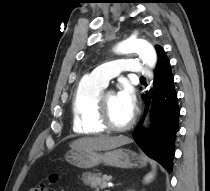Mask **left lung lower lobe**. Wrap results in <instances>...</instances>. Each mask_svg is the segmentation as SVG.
Listing matches in <instances>:
<instances>
[{"label":"left lung lower lobe","instance_id":"1","mask_svg":"<svg viewBox=\"0 0 210 191\" xmlns=\"http://www.w3.org/2000/svg\"><path fill=\"white\" fill-rule=\"evenodd\" d=\"M152 95V127L149 131H144L141 122L135 128L133 138L149 157L158 161L171 173L180 111L170 62L164 50L158 53L154 91L150 90L144 96L147 107L150 105Z\"/></svg>","mask_w":210,"mask_h":191}]
</instances>
